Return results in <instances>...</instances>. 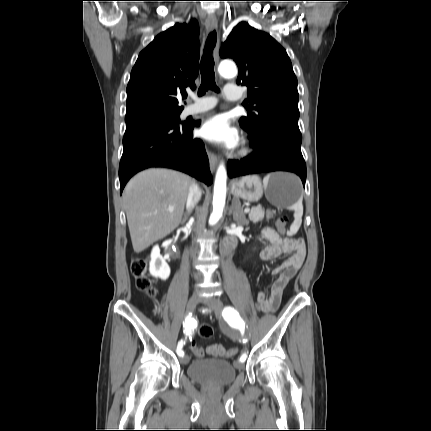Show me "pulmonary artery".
I'll return each mask as SVG.
<instances>
[{
	"instance_id": "1",
	"label": "pulmonary artery",
	"mask_w": 431,
	"mask_h": 431,
	"mask_svg": "<svg viewBox=\"0 0 431 431\" xmlns=\"http://www.w3.org/2000/svg\"><path fill=\"white\" fill-rule=\"evenodd\" d=\"M224 98L229 101H237L241 98V90L234 84H226L224 87ZM196 103L185 108V115H194L207 111L215 106L214 98H195Z\"/></svg>"
}]
</instances>
